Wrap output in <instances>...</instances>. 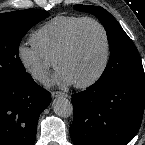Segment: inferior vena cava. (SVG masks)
Masks as SVG:
<instances>
[{
  "mask_svg": "<svg viewBox=\"0 0 145 145\" xmlns=\"http://www.w3.org/2000/svg\"><path fill=\"white\" fill-rule=\"evenodd\" d=\"M40 77L44 78V75L37 76V78H40Z\"/></svg>",
  "mask_w": 145,
  "mask_h": 145,
  "instance_id": "1",
  "label": "inferior vena cava"
}]
</instances>
